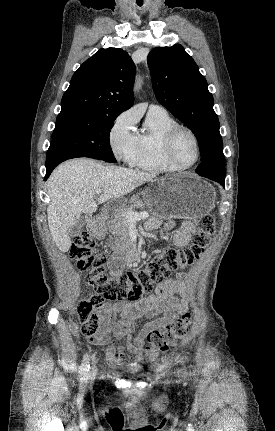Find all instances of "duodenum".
I'll use <instances>...</instances> for the list:
<instances>
[{
  "label": "duodenum",
  "mask_w": 275,
  "mask_h": 431,
  "mask_svg": "<svg viewBox=\"0 0 275 431\" xmlns=\"http://www.w3.org/2000/svg\"><path fill=\"white\" fill-rule=\"evenodd\" d=\"M104 231V219L98 218L92 227V233L96 237L102 236ZM122 256L127 262H133L139 257V249L135 244H127L122 248Z\"/></svg>",
  "instance_id": "410a0bca"
}]
</instances>
